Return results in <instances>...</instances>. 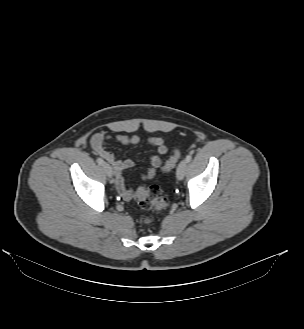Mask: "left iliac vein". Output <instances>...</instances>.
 Instances as JSON below:
<instances>
[{
  "label": "left iliac vein",
  "mask_w": 304,
  "mask_h": 329,
  "mask_svg": "<svg viewBox=\"0 0 304 329\" xmlns=\"http://www.w3.org/2000/svg\"><path fill=\"white\" fill-rule=\"evenodd\" d=\"M187 162L185 160H182L176 170V176L178 180H182L184 178L185 172H186Z\"/></svg>",
  "instance_id": "1"
}]
</instances>
